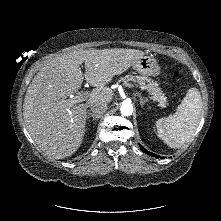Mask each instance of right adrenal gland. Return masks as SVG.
<instances>
[{"label":"right adrenal gland","mask_w":221,"mask_h":221,"mask_svg":"<svg viewBox=\"0 0 221 221\" xmlns=\"http://www.w3.org/2000/svg\"><path fill=\"white\" fill-rule=\"evenodd\" d=\"M101 116L98 115H94L92 113H88L87 119L89 120L90 118H92L93 120H98L100 119Z\"/></svg>","instance_id":"1"}]
</instances>
